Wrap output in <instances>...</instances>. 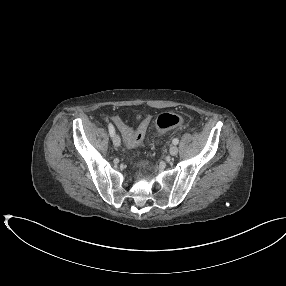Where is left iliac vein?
<instances>
[{
	"instance_id": "left-iliac-vein-1",
	"label": "left iliac vein",
	"mask_w": 286,
	"mask_h": 286,
	"mask_svg": "<svg viewBox=\"0 0 286 286\" xmlns=\"http://www.w3.org/2000/svg\"><path fill=\"white\" fill-rule=\"evenodd\" d=\"M169 152L171 156H176L178 153V147L176 145H172Z\"/></svg>"
}]
</instances>
